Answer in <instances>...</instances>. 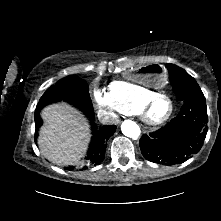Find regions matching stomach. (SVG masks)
I'll use <instances>...</instances> for the list:
<instances>
[{
	"label": "stomach",
	"instance_id": "obj_1",
	"mask_svg": "<svg viewBox=\"0 0 221 221\" xmlns=\"http://www.w3.org/2000/svg\"><path fill=\"white\" fill-rule=\"evenodd\" d=\"M131 77L134 82L151 88L160 86L164 80L163 70L161 66L156 63L134 67L131 72Z\"/></svg>",
	"mask_w": 221,
	"mask_h": 221
}]
</instances>
